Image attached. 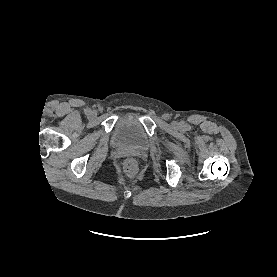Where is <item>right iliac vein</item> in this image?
Listing matches in <instances>:
<instances>
[{
	"mask_svg": "<svg viewBox=\"0 0 277 277\" xmlns=\"http://www.w3.org/2000/svg\"><path fill=\"white\" fill-rule=\"evenodd\" d=\"M97 116V112L95 110H92L89 114L90 118H95Z\"/></svg>",
	"mask_w": 277,
	"mask_h": 277,
	"instance_id": "right-iliac-vein-1",
	"label": "right iliac vein"
}]
</instances>
